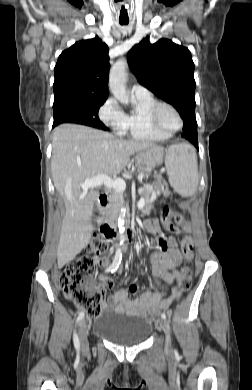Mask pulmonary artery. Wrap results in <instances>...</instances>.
Listing matches in <instances>:
<instances>
[{
	"mask_svg": "<svg viewBox=\"0 0 252 390\" xmlns=\"http://www.w3.org/2000/svg\"><path fill=\"white\" fill-rule=\"evenodd\" d=\"M131 92L135 97H147L151 95L150 91L146 87L137 83L132 85Z\"/></svg>",
	"mask_w": 252,
	"mask_h": 390,
	"instance_id": "pulmonary-artery-1",
	"label": "pulmonary artery"
}]
</instances>
